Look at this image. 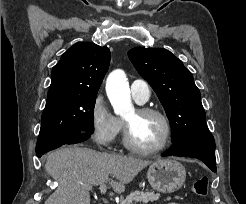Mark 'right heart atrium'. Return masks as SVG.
Wrapping results in <instances>:
<instances>
[{
	"label": "right heart atrium",
	"instance_id": "obj_1",
	"mask_svg": "<svg viewBox=\"0 0 246 204\" xmlns=\"http://www.w3.org/2000/svg\"><path fill=\"white\" fill-rule=\"evenodd\" d=\"M91 136L101 148H108L122 129V121L113 114L103 94H97L90 108Z\"/></svg>",
	"mask_w": 246,
	"mask_h": 204
}]
</instances>
